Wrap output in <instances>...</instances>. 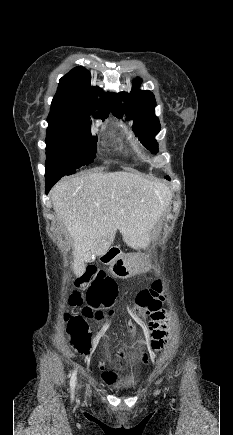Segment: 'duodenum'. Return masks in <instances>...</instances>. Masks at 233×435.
I'll return each mask as SVG.
<instances>
[{"mask_svg":"<svg viewBox=\"0 0 233 435\" xmlns=\"http://www.w3.org/2000/svg\"><path fill=\"white\" fill-rule=\"evenodd\" d=\"M120 251L117 248L107 247L98 254V259L112 265L118 258Z\"/></svg>","mask_w":233,"mask_h":435,"instance_id":"duodenum-1","label":"duodenum"}]
</instances>
